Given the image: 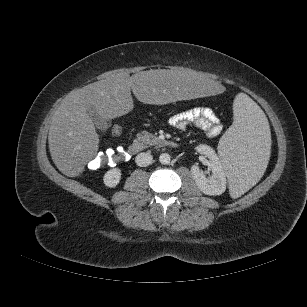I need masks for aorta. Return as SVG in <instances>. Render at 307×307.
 Segmentation results:
<instances>
[{"instance_id":"obj_1","label":"aorta","mask_w":307,"mask_h":307,"mask_svg":"<svg viewBox=\"0 0 307 307\" xmlns=\"http://www.w3.org/2000/svg\"><path fill=\"white\" fill-rule=\"evenodd\" d=\"M159 161L161 164H164V165L169 164L171 161V156L168 153H162L159 156Z\"/></svg>"}]
</instances>
